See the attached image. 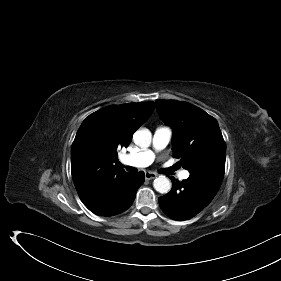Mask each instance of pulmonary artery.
Instances as JSON below:
<instances>
[{"label": "pulmonary artery", "mask_w": 281, "mask_h": 281, "mask_svg": "<svg viewBox=\"0 0 281 281\" xmlns=\"http://www.w3.org/2000/svg\"><path fill=\"white\" fill-rule=\"evenodd\" d=\"M171 138L172 129L167 126H159L154 131L151 149H144L137 153L125 155L122 157V161L128 165L146 167L154 161L155 153L163 150L169 144ZM189 175L188 171H181L179 177L187 179Z\"/></svg>", "instance_id": "e3ab8cb5"}]
</instances>
